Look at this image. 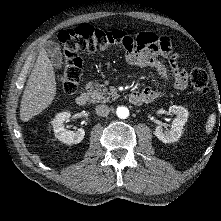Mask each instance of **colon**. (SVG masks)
<instances>
[{"instance_id":"5ec220e1","label":"colon","mask_w":221,"mask_h":221,"mask_svg":"<svg viewBox=\"0 0 221 221\" xmlns=\"http://www.w3.org/2000/svg\"><path fill=\"white\" fill-rule=\"evenodd\" d=\"M129 32L122 30L104 31L88 24L63 30L58 40L63 55L60 83L66 94H73L81 77L82 60L79 53L83 51H100L114 45L128 46L132 42ZM195 92L204 94L209 88L208 75L200 67H195L190 75Z\"/></svg>"}]
</instances>
